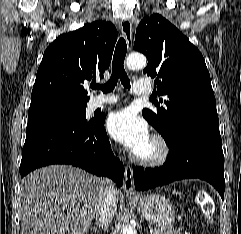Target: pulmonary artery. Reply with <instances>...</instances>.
Returning a JSON list of instances; mask_svg holds the SVG:
<instances>
[{
  "label": "pulmonary artery",
  "instance_id": "pulmonary-artery-1",
  "mask_svg": "<svg viewBox=\"0 0 241 234\" xmlns=\"http://www.w3.org/2000/svg\"><path fill=\"white\" fill-rule=\"evenodd\" d=\"M152 91L151 86L147 83L137 82L134 84L133 92L136 95H148ZM118 99L115 96H97L90 100L89 108L95 110L97 108L117 103Z\"/></svg>",
  "mask_w": 241,
  "mask_h": 234
}]
</instances>
